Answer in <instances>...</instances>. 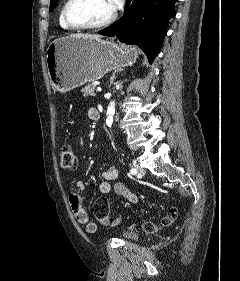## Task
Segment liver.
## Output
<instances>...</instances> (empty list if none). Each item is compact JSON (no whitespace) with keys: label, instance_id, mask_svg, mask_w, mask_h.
<instances>
[{"label":"liver","instance_id":"6515ba94","mask_svg":"<svg viewBox=\"0 0 240 281\" xmlns=\"http://www.w3.org/2000/svg\"><path fill=\"white\" fill-rule=\"evenodd\" d=\"M70 36H75V37H83V38H89V39H95V40H99L101 38V36L99 35H90V34H72Z\"/></svg>","mask_w":240,"mask_h":281}]
</instances>
